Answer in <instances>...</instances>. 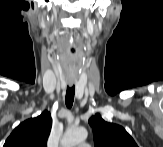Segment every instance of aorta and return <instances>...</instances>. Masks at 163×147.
<instances>
[{"label": "aorta", "instance_id": "1", "mask_svg": "<svg viewBox=\"0 0 163 147\" xmlns=\"http://www.w3.org/2000/svg\"><path fill=\"white\" fill-rule=\"evenodd\" d=\"M87 130L84 127H71L66 130L61 140L63 147H74L87 138Z\"/></svg>", "mask_w": 163, "mask_h": 147}]
</instances>
